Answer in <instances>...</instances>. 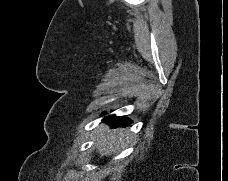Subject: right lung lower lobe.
<instances>
[{"label": "right lung lower lobe", "instance_id": "98d812e1", "mask_svg": "<svg viewBox=\"0 0 228 181\" xmlns=\"http://www.w3.org/2000/svg\"><path fill=\"white\" fill-rule=\"evenodd\" d=\"M107 123L111 124L112 127L123 126L124 124L129 125L132 121L126 117L108 116L104 119Z\"/></svg>", "mask_w": 228, "mask_h": 181}]
</instances>
